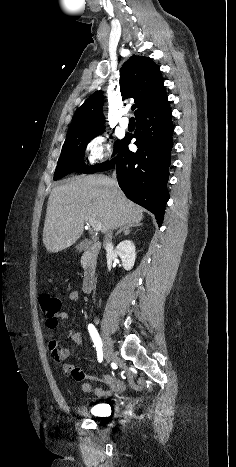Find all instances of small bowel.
<instances>
[{"label":"small bowel","instance_id":"obj_1","mask_svg":"<svg viewBox=\"0 0 236 467\" xmlns=\"http://www.w3.org/2000/svg\"><path fill=\"white\" fill-rule=\"evenodd\" d=\"M69 299L72 302L80 301V294L77 290L72 289L69 292ZM68 318V313L61 310L52 317H46L45 325L49 330H55L58 327L59 320H65ZM67 338L75 345L82 343V333L79 330H69L66 333ZM49 348L53 358L61 364L63 372L66 376L71 377L75 381L84 382L82 384V390L87 393H93L96 397L102 398L109 396L114 391L122 389V381L115 377L110 376H94L85 373L80 367L68 362L70 356V350L67 347L58 346L55 339H51L49 342ZM90 382H105L109 385L108 389H101L95 387Z\"/></svg>","mask_w":236,"mask_h":467}]
</instances>
